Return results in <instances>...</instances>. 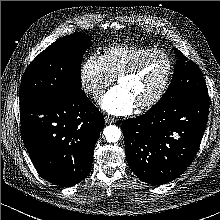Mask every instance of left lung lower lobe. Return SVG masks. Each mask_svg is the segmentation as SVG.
I'll use <instances>...</instances> for the list:
<instances>
[{"mask_svg":"<svg viewBox=\"0 0 220 220\" xmlns=\"http://www.w3.org/2000/svg\"><path fill=\"white\" fill-rule=\"evenodd\" d=\"M208 94L152 107L122 123L128 164L142 181L160 185L185 172L207 124Z\"/></svg>","mask_w":220,"mask_h":220,"instance_id":"0a47b994","label":"left lung lower lobe"}]
</instances>
